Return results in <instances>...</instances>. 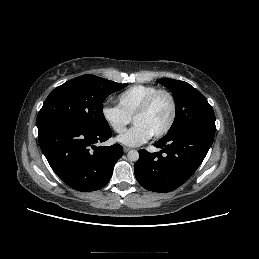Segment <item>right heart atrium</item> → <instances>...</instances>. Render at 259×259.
I'll list each match as a JSON object with an SVG mask.
<instances>
[{"label": "right heart atrium", "instance_id": "obj_1", "mask_svg": "<svg viewBox=\"0 0 259 259\" xmlns=\"http://www.w3.org/2000/svg\"><path fill=\"white\" fill-rule=\"evenodd\" d=\"M101 114L107 125L116 133L124 132L131 122V118L123 113L118 106L105 104L101 108Z\"/></svg>", "mask_w": 259, "mask_h": 259}]
</instances>
